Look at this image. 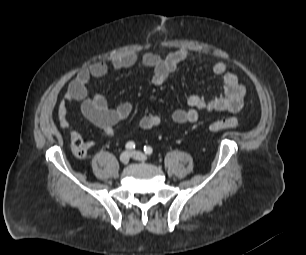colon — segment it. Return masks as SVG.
<instances>
[{"instance_id": "5ec220e1", "label": "colon", "mask_w": 306, "mask_h": 255, "mask_svg": "<svg viewBox=\"0 0 306 255\" xmlns=\"http://www.w3.org/2000/svg\"><path fill=\"white\" fill-rule=\"evenodd\" d=\"M238 126V120L234 117L219 119L209 125L211 131H221L227 129H234ZM71 150L72 153L78 157L83 158L87 155L89 144L82 136L76 132L71 134Z\"/></svg>"}]
</instances>
